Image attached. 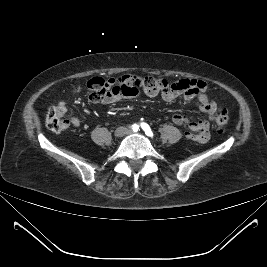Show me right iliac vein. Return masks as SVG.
<instances>
[{
	"mask_svg": "<svg viewBox=\"0 0 267 267\" xmlns=\"http://www.w3.org/2000/svg\"><path fill=\"white\" fill-rule=\"evenodd\" d=\"M126 128H124V127H119V128H117L116 130H115V133H114V135H115V137H118V138H120V137H123L125 134H126Z\"/></svg>",
	"mask_w": 267,
	"mask_h": 267,
	"instance_id": "obj_1",
	"label": "right iliac vein"
}]
</instances>
